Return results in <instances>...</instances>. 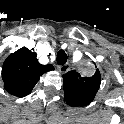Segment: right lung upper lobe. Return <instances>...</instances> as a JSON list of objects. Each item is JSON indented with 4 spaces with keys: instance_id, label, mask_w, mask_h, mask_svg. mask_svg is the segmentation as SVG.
Wrapping results in <instances>:
<instances>
[{
    "instance_id": "cb5924a9",
    "label": "right lung upper lobe",
    "mask_w": 124,
    "mask_h": 124,
    "mask_svg": "<svg viewBox=\"0 0 124 124\" xmlns=\"http://www.w3.org/2000/svg\"><path fill=\"white\" fill-rule=\"evenodd\" d=\"M36 56V53L23 47L6 58L2 68V79L6 91L18 97H24L32 91L43 73L54 70L50 64L41 65Z\"/></svg>"
}]
</instances>
